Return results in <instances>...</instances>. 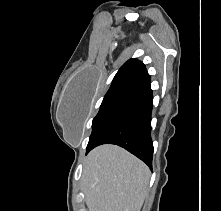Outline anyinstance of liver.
<instances>
[{
  "mask_svg": "<svg viewBox=\"0 0 221 211\" xmlns=\"http://www.w3.org/2000/svg\"><path fill=\"white\" fill-rule=\"evenodd\" d=\"M150 171L116 145L93 149L83 163L82 189L88 211H140Z\"/></svg>",
  "mask_w": 221,
  "mask_h": 211,
  "instance_id": "obj_1",
  "label": "liver"
}]
</instances>
